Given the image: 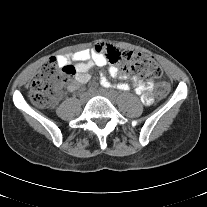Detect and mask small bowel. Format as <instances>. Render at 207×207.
<instances>
[{"label":"small bowel","instance_id":"c3829d8e","mask_svg":"<svg viewBox=\"0 0 207 207\" xmlns=\"http://www.w3.org/2000/svg\"><path fill=\"white\" fill-rule=\"evenodd\" d=\"M57 60L61 66L70 65L73 67L74 74L69 80L67 89L69 92H74L80 88V86L86 84L90 80L89 71L93 66H108V74L110 77H124L119 67L116 64L109 63L105 56L98 52L95 48L83 49L72 54L59 55ZM72 62H75L73 65ZM102 78V79H101ZM99 85L100 87L111 91H125L128 92L131 89V85L128 82H112L107 80L104 76H101ZM135 92L140 95L141 101L150 105L153 102L151 95L153 85L150 82H143L140 79L133 78Z\"/></svg>","mask_w":207,"mask_h":207}]
</instances>
